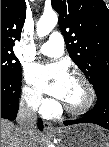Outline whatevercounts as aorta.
I'll list each match as a JSON object with an SVG mask.
<instances>
[{"label":"aorta","mask_w":109,"mask_h":147,"mask_svg":"<svg viewBox=\"0 0 109 147\" xmlns=\"http://www.w3.org/2000/svg\"><path fill=\"white\" fill-rule=\"evenodd\" d=\"M58 22L56 12H45L37 22L36 32L39 37L48 35Z\"/></svg>","instance_id":"762f6f07"}]
</instances>
